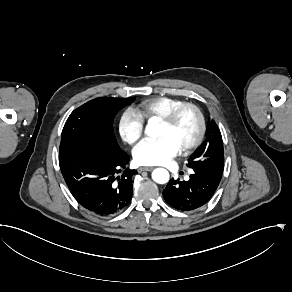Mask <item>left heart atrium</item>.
<instances>
[{"label": "left heart atrium", "instance_id": "1", "mask_svg": "<svg viewBox=\"0 0 292 292\" xmlns=\"http://www.w3.org/2000/svg\"><path fill=\"white\" fill-rule=\"evenodd\" d=\"M181 152L179 144L171 137L145 139L134 150V159L140 165H161Z\"/></svg>", "mask_w": 292, "mask_h": 292}]
</instances>
